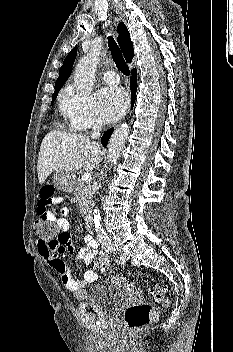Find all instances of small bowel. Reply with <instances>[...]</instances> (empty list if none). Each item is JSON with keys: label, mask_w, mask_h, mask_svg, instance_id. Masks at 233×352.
<instances>
[{"label": "small bowel", "mask_w": 233, "mask_h": 352, "mask_svg": "<svg viewBox=\"0 0 233 352\" xmlns=\"http://www.w3.org/2000/svg\"><path fill=\"white\" fill-rule=\"evenodd\" d=\"M62 201L56 195L55 188L51 185H44L39 190L37 217L38 219H48L57 228L58 235L50 241L37 240V250L41 258L58 272L64 286L74 291L78 287H84L98 279V274L94 270H87L80 279L73 275L71 268L64 261L65 252L73 253L71 237L69 233L70 217L67 208H52ZM85 246L77 251V260L83 265H89L98 255V242L91 235L84 236Z\"/></svg>", "instance_id": "1"}]
</instances>
